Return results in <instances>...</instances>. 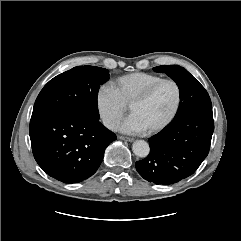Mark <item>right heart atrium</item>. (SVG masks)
<instances>
[{
    "label": "right heart atrium",
    "mask_w": 241,
    "mask_h": 241,
    "mask_svg": "<svg viewBox=\"0 0 241 241\" xmlns=\"http://www.w3.org/2000/svg\"><path fill=\"white\" fill-rule=\"evenodd\" d=\"M96 107L103 124L109 129H115L127 111V106L121 101L112 86L102 85L96 94Z\"/></svg>",
    "instance_id": "d8ad5b80"
}]
</instances>
